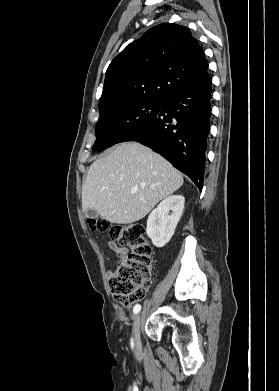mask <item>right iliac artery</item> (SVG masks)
<instances>
[{
    "label": "right iliac artery",
    "mask_w": 279,
    "mask_h": 391,
    "mask_svg": "<svg viewBox=\"0 0 279 391\" xmlns=\"http://www.w3.org/2000/svg\"><path fill=\"white\" fill-rule=\"evenodd\" d=\"M140 310H141V305H140V304H136V305L134 306V308H133L134 314L139 313ZM131 344H133V340H131Z\"/></svg>",
    "instance_id": "82829eb1"
}]
</instances>
